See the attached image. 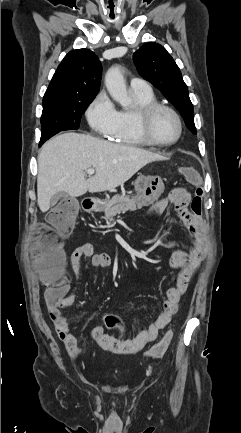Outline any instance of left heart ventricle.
<instances>
[{
  "instance_id": "1",
  "label": "left heart ventricle",
  "mask_w": 241,
  "mask_h": 433,
  "mask_svg": "<svg viewBox=\"0 0 241 433\" xmlns=\"http://www.w3.org/2000/svg\"><path fill=\"white\" fill-rule=\"evenodd\" d=\"M151 128L154 137L162 142L174 140L178 133L177 122L167 111H160L156 114Z\"/></svg>"
}]
</instances>
